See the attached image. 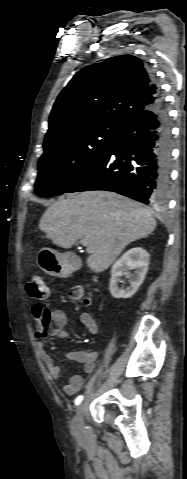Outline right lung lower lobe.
I'll use <instances>...</instances> for the list:
<instances>
[{
    "label": "right lung lower lobe",
    "mask_w": 187,
    "mask_h": 479,
    "mask_svg": "<svg viewBox=\"0 0 187 479\" xmlns=\"http://www.w3.org/2000/svg\"><path fill=\"white\" fill-rule=\"evenodd\" d=\"M171 150L170 120L161 96L122 126L107 151L65 193L106 190L145 204H163L169 190Z\"/></svg>",
    "instance_id": "right-lung-lower-lobe-1"
}]
</instances>
